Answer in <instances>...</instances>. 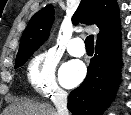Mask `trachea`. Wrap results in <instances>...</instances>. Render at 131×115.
<instances>
[{
  "label": "trachea",
  "instance_id": "3493384b",
  "mask_svg": "<svg viewBox=\"0 0 131 115\" xmlns=\"http://www.w3.org/2000/svg\"><path fill=\"white\" fill-rule=\"evenodd\" d=\"M85 47L86 49L94 50V36L93 35H89L85 39Z\"/></svg>",
  "mask_w": 131,
  "mask_h": 115
}]
</instances>
